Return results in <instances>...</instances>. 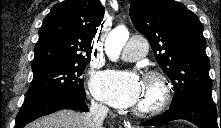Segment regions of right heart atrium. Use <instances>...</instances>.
Here are the masks:
<instances>
[{"label": "right heart atrium", "mask_w": 221, "mask_h": 128, "mask_svg": "<svg viewBox=\"0 0 221 128\" xmlns=\"http://www.w3.org/2000/svg\"><path fill=\"white\" fill-rule=\"evenodd\" d=\"M92 104H93L94 107H97V108L102 107V105L99 102H97L96 100H93Z\"/></svg>", "instance_id": "right-heart-atrium-1"}]
</instances>
